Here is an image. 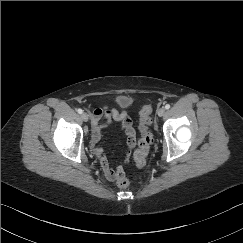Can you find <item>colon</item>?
Here are the masks:
<instances>
[{"label":"colon","instance_id":"5ec220e1","mask_svg":"<svg viewBox=\"0 0 243 243\" xmlns=\"http://www.w3.org/2000/svg\"><path fill=\"white\" fill-rule=\"evenodd\" d=\"M151 112V105L143 106L140 111L139 130L141 137L138 142V150L135 153V162L138 167L144 166L146 156L149 152L150 146L153 143V136L149 129L151 123ZM117 185L120 188H127L130 185V179L126 176H123L118 179Z\"/></svg>","mask_w":243,"mask_h":243}]
</instances>
